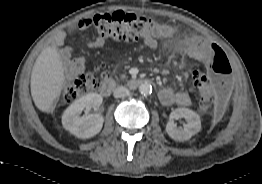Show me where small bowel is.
<instances>
[{"label": "small bowel", "mask_w": 262, "mask_h": 184, "mask_svg": "<svg viewBox=\"0 0 262 184\" xmlns=\"http://www.w3.org/2000/svg\"><path fill=\"white\" fill-rule=\"evenodd\" d=\"M81 28V27H79ZM175 35L173 27L160 24L155 29L143 37V44L149 49H156L161 39H171ZM63 37V36H61ZM106 38L98 36L88 42L90 48H100L104 46ZM210 44L199 37H185L179 41L181 51L188 57L203 63L209 70L212 69V60L208 56ZM61 57L64 61L65 73L68 78H73L81 74L86 68L87 61L85 58H71L72 51L68 47L60 50ZM159 100L163 105L177 104L182 107H188L192 104V98L186 91H174L171 88H163L159 93Z\"/></svg>", "instance_id": "c3829d8e"}]
</instances>
